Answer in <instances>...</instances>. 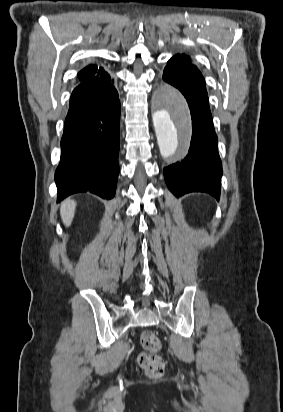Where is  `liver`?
<instances>
[{"label": "liver", "mask_w": 283, "mask_h": 412, "mask_svg": "<svg viewBox=\"0 0 283 412\" xmlns=\"http://www.w3.org/2000/svg\"><path fill=\"white\" fill-rule=\"evenodd\" d=\"M76 202L74 200H66L61 204L60 215L63 221V224L66 227H69L73 221L75 214Z\"/></svg>", "instance_id": "1"}]
</instances>
